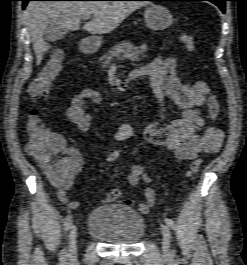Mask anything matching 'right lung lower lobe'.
Here are the masks:
<instances>
[{"mask_svg": "<svg viewBox=\"0 0 247 265\" xmlns=\"http://www.w3.org/2000/svg\"><path fill=\"white\" fill-rule=\"evenodd\" d=\"M22 1H23V8H25L27 3H28V1H31V0H22Z\"/></svg>", "mask_w": 247, "mask_h": 265, "instance_id": "obj_1", "label": "right lung lower lobe"}]
</instances>
